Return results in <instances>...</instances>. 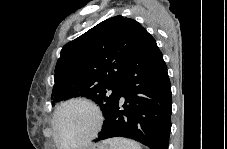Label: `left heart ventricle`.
I'll return each instance as SVG.
<instances>
[{"mask_svg": "<svg viewBox=\"0 0 227 149\" xmlns=\"http://www.w3.org/2000/svg\"><path fill=\"white\" fill-rule=\"evenodd\" d=\"M92 111L83 105L73 104L64 108L57 118V135L61 144L83 140L94 126Z\"/></svg>", "mask_w": 227, "mask_h": 149, "instance_id": "left-heart-ventricle-1", "label": "left heart ventricle"}]
</instances>
